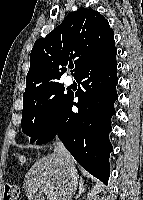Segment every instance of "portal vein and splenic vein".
Returning <instances> with one entry per match:
<instances>
[{
  "instance_id": "18ae733b",
  "label": "portal vein and splenic vein",
  "mask_w": 143,
  "mask_h": 200,
  "mask_svg": "<svg viewBox=\"0 0 143 200\" xmlns=\"http://www.w3.org/2000/svg\"><path fill=\"white\" fill-rule=\"evenodd\" d=\"M42 191L46 194V195H50L51 193L47 190V188L43 187Z\"/></svg>"
}]
</instances>
